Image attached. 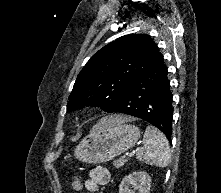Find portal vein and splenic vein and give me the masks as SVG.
<instances>
[{
  "mask_svg": "<svg viewBox=\"0 0 221 193\" xmlns=\"http://www.w3.org/2000/svg\"><path fill=\"white\" fill-rule=\"evenodd\" d=\"M127 156L126 155H124V157L123 158H126Z\"/></svg>",
  "mask_w": 221,
  "mask_h": 193,
  "instance_id": "obj_1",
  "label": "portal vein and splenic vein"
}]
</instances>
